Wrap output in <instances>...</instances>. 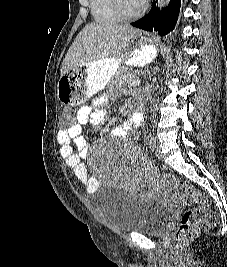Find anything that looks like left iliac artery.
Here are the masks:
<instances>
[{"label":"left iliac artery","mask_w":227,"mask_h":267,"mask_svg":"<svg viewBox=\"0 0 227 267\" xmlns=\"http://www.w3.org/2000/svg\"><path fill=\"white\" fill-rule=\"evenodd\" d=\"M147 140H148V144H149V145H152V143H153V141H154V138H153V136L151 135V133L148 135Z\"/></svg>","instance_id":"left-iliac-artery-1"}]
</instances>
